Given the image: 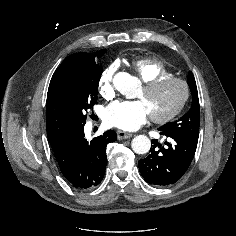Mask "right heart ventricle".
I'll return each instance as SVG.
<instances>
[{"label": "right heart ventricle", "instance_id": "right-heart-ventricle-1", "mask_svg": "<svg viewBox=\"0 0 236 236\" xmlns=\"http://www.w3.org/2000/svg\"><path fill=\"white\" fill-rule=\"evenodd\" d=\"M133 69L143 83L160 77L173 76V73L158 58L142 57L133 61Z\"/></svg>", "mask_w": 236, "mask_h": 236}]
</instances>
